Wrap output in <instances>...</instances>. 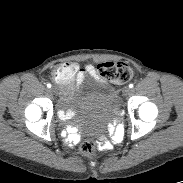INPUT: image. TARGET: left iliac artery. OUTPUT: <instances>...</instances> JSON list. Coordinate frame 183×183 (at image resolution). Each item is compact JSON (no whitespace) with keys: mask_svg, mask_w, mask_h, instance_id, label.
Wrapping results in <instances>:
<instances>
[{"mask_svg":"<svg viewBox=\"0 0 183 183\" xmlns=\"http://www.w3.org/2000/svg\"><path fill=\"white\" fill-rule=\"evenodd\" d=\"M134 87V85L131 83V84H129V88H133Z\"/></svg>","mask_w":183,"mask_h":183,"instance_id":"obj_1","label":"left iliac artery"}]
</instances>
